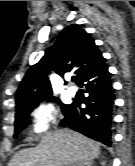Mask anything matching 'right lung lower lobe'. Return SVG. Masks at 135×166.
Masks as SVG:
<instances>
[{"label": "right lung lower lobe", "mask_w": 135, "mask_h": 166, "mask_svg": "<svg viewBox=\"0 0 135 166\" xmlns=\"http://www.w3.org/2000/svg\"><path fill=\"white\" fill-rule=\"evenodd\" d=\"M110 77L105 59L82 75L77 83L86 87L85 92L89 96L85 100L75 99L63 113L65 118L60 125H68L71 129L110 146L115 99ZM83 103L85 108L81 107Z\"/></svg>", "instance_id": "98d812e1"}]
</instances>
